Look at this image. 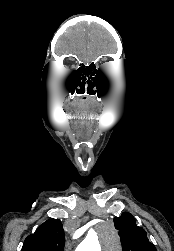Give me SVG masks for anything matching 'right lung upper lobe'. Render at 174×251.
Instances as JSON below:
<instances>
[{"label":"right lung upper lobe","mask_w":174,"mask_h":251,"mask_svg":"<svg viewBox=\"0 0 174 251\" xmlns=\"http://www.w3.org/2000/svg\"><path fill=\"white\" fill-rule=\"evenodd\" d=\"M64 231L60 220L48 219L29 235L21 251H63Z\"/></svg>","instance_id":"cb5924a9"}]
</instances>
